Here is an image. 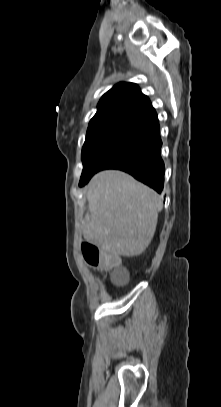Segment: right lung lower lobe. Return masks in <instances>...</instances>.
I'll return each mask as SVG.
<instances>
[{"mask_svg":"<svg viewBox=\"0 0 221 407\" xmlns=\"http://www.w3.org/2000/svg\"><path fill=\"white\" fill-rule=\"evenodd\" d=\"M161 146L159 122L155 116L119 145L103 162L99 171L104 169L125 171L161 193L165 173L164 162L160 154Z\"/></svg>","mask_w":221,"mask_h":407,"instance_id":"98d812e1","label":"right lung lower lobe"}]
</instances>
